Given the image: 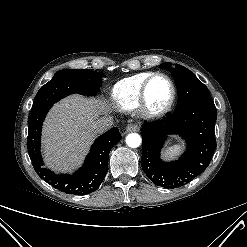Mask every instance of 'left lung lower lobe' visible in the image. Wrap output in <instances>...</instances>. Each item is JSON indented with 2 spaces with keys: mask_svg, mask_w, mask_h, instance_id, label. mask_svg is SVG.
<instances>
[{
  "mask_svg": "<svg viewBox=\"0 0 247 247\" xmlns=\"http://www.w3.org/2000/svg\"><path fill=\"white\" fill-rule=\"evenodd\" d=\"M214 102L199 103L162 120L142 125L143 153L141 166L147 177L157 186L177 188L204 172L216 148ZM177 134L187 142L185 153L176 161L160 158L166 136Z\"/></svg>",
  "mask_w": 247,
  "mask_h": 247,
  "instance_id": "0a47b994",
  "label": "left lung lower lobe"
}]
</instances>
